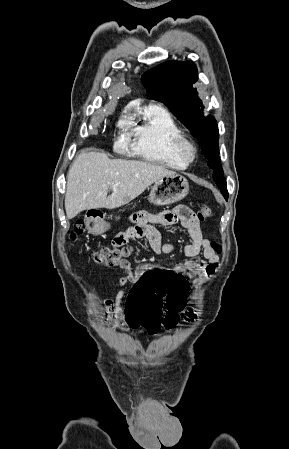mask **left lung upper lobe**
I'll list each match as a JSON object with an SVG mask.
<instances>
[{
  "label": "left lung upper lobe",
  "instance_id": "5c2ea615",
  "mask_svg": "<svg viewBox=\"0 0 289 449\" xmlns=\"http://www.w3.org/2000/svg\"><path fill=\"white\" fill-rule=\"evenodd\" d=\"M198 80L196 65L192 61H168L145 72L141 81L149 96L164 103L196 137L214 170L213 180L223 196H228L226 180L221 169L215 118L204 116L202 102L193 84Z\"/></svg>",
  "mask_w": 289,
  "mask_h": 449
}]
</instances>
